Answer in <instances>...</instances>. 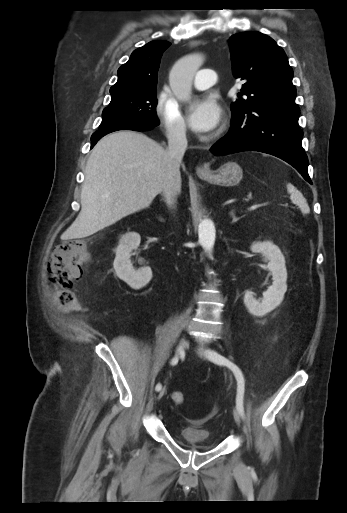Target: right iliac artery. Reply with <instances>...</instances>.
Masks as SVG:
<instances>
[{
    "instance_id": "1",
    "label": "right iliac artery",
    "mask_w": 347,
    "mask_h": 513,
    "mask_svg": "<svg viewBox=\"0 0 347 513\" xmlns=\"http://www.w3.org/2000/svg\"><path fill=\"white\" fill-rule=\"evenodd\" d=\"M179 361V357H178V354L175 355V357L172 358L171 360V365H176ZM162 388V385L160 383H158L155 387L156 391H160Z\"/></svg>"
}]
</instances>
